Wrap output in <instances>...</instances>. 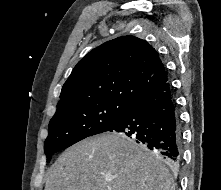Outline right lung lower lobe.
Returning a JSON list of instances; mask_svg holds the SVG:
<instances>
[{"label": "right lung lower lobe", "instance_id": "98d812e1", "mask_svg": "<svg viewBox=\"0 0 221 190\" xmlns=\"http://www.w3.org/2000/svg\"><path fill=\"white\" fill-rule=\"evenodd\" d=\"M110 132H120L144 144L170 166L182 152L181 123L169 81L131 103Z\"/></svg>", "mask_w": 221, "mask_h": 190}]
</instances>
